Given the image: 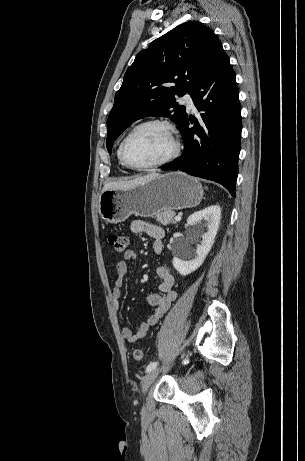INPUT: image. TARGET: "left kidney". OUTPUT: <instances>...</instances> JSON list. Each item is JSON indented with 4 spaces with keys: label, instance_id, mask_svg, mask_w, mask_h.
<instances>
[{
    "label": "left kidney",
    "instance_id": "obj_1",
    "mask_svg": "<svg viewBox=\"0 0 305 461\" xmlns=\"http://www.w3.org/2000/svg\"><path fill=\"white\" fill-rule=\"evenodd\" d=\"M221 219V208L218 205H211L201 211L195 212L187 219V224L197 229V234L202 241L196 250L184 244L180 247V254L174 256L173 266L182 276L188 275L198 269L204 262L211 250L217 234ZM204 228L207 229L203 232ZM187 257L190 260H185Z\"/></svg>",
    "mask_w": 305,
    "mask_h": 461
}]
</instances>
